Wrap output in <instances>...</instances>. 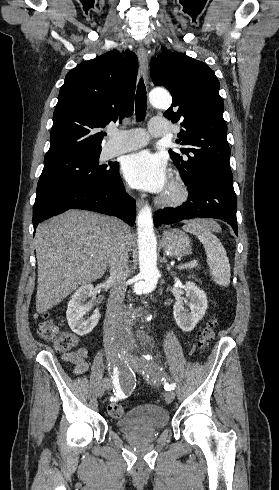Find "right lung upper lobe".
<instances>
[{"label": "right lung upper lobe", "mask_w": 279, "mask_h": 490, "mask_svg": "<svg viewBox=\"0 0 279 490\" xmlns=\"http://www.w3.org/2000/svg\"><path fill=\"white\" fill-rule=\"evenodd\" d=\"M137 69L134 53L113 50L68 72L53 114L46 163L101 152L106 133L100 129L133 113Z\"/></svg>", "instance_id": "right-lung-upper-lobe-1"}]
</instances>
